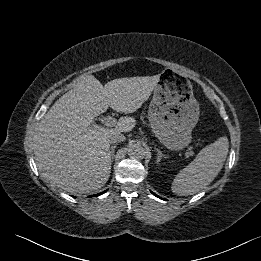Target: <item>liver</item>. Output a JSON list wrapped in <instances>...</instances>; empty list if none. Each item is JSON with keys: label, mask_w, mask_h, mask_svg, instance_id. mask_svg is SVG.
<instances>
[{"label": "liver", "mask_w": 261, "mask_h": 261, "mask_svg": "<svg viewBox=\"0 0 261 261\" xmlns=\"http://www.w3.org/2000/svg\"><path fill=\"white\" fill-rule=\"evenodd\" d=\"M160 75L119 78L104 86L91 74L77 78L37 124L33 137L35 161L47 182L71 193L103 187L111 172L109 136L130 132L136 120L121 117L115 128L93 124L108 107L133 113L147 101Z\"/></svg>", "instance_id": "liver-1"}]
</instances>
